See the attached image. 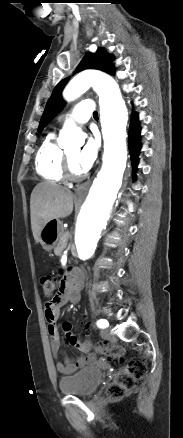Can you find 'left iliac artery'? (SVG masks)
Returning a JSON list of instances; mask_svg holds the SVG:
<instances>
[{"label": "left iliac artery", "mask_w": 183, "mask_h": 438, "mask_svg": "<svg viewBox=\"0 0 183 438\" xmlns=\"http://www.w3.org/2000/svg\"><path fill=\"white\" fill-rule=\"evenodd\" d=\"M96 324L99 328H102V329L107 328L109 326L108 321L105 319L98 320Z\"/></svg>", "instance_id": "obj_1"}]
</instances>
